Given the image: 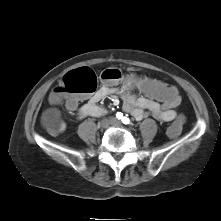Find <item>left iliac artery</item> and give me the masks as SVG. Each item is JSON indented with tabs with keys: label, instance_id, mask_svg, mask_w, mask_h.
<instances>
[{
	"label": "left iliac artery",
	"instance_id": "44dca946",
	"mask_svg": "<svg viewBox=\"0 0 221 221\" xmlns=\"http://www.w3.org/2000/svg\"><path fill=\"white\" fill-rule=\"evenodd\" d=\"M122 122L124 123V124H131V122H130V120H129V118H127V117H123L122 118Z\"/></svg>",
	"mask_w": 221,
	"mask_h": 221
}]
</instances>
